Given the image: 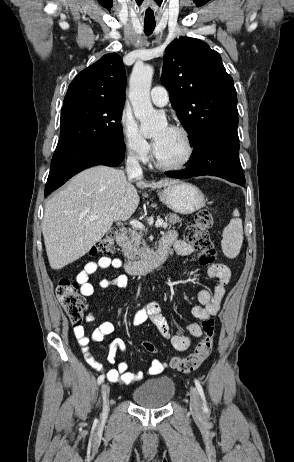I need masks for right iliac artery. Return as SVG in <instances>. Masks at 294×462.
<instances>
[{
    "label": "right iliac artery",
    "instance_id": "82829eb1",
    "mask_svg": "<svg viewBox=\"0 0 294 462\" xmlns=\"http://www.w3.org/2000/svg\"><path fill=\"white\" fill-rule=\"evenodd\" d=\"M104 378H105L104 375H100V376L98 377V384H101V383L104 381Z\"/></svg>",
    "mask_w": 294,
    "mask_h": 462
}]
</instances>
